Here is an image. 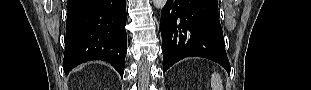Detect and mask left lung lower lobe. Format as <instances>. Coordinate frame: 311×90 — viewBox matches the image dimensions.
<instances>
[{"label": "left lung lower lobe", "mask_w": 311, "mask_h": 90, "mask_svg": "<svg viewBox=\"0 0 311 90\" xmlns=\"http://www.w3.org/2000/svg\"><path fill=\"white\" fill-rule=\"evenodd\" d=\"M163 71L183 58L198 56L230 74L217 0H168L161 12Z\"/></svg>", "instance_id": "obj_1"}]
</instances>
